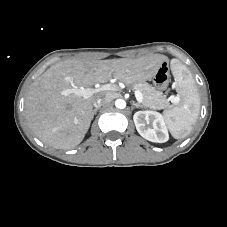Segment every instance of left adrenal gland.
<instances>
[{
    "label": "left adrenal gland",
    "mask_w": 227,
    "mask_h": 227,
    "mask_svg": "<svg viewBox=\"0 0 227 227\" xmlns=\"http://www.w3.org/2000/svg\"><path fill=\"white\" fill-rule=\"evenodd\" d=\"M132 104H133L134 107H137V108H144V106L141 105V104H139V103L133 102Z\"/></svg>",
    "instance_id": "1"
}]
</instances>
